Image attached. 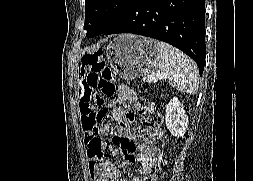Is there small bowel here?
I'll list each match as a JSON object with an SVG mask.
<instances>
[{
	"instance_id": "obj_1",
	"label": "small bowel",
	"mask_w": 253,
	"mask_h": 181,
	"mask_svg": "<svg viewBox=\"0 0 253 181\" xmlns=\"http://www.w3.org/2000/svg\"><path fill=\"white\" fill-rule=\"evenodd\" d=\"M86 70L79 69V112L82 117L87 114V103L85 101L87 86L85 83ZM132 104L135 108H140L141 103L138 100L135 91L121 86L118 89L117 97L111 102V116L117 123L113 144L118 146L122 153L126 155L130 163H141V173L144 176L150 175L155 170L158 163L163 162V153L160 147L152 138L149 130L140 128L137 136L130 134L129 126L134 121V113L123 110L119 105ZM96 130H102L104 134H110L112 127L110 124L96 125ZM85 130V137L88 135ZM88 147L89 170L92 175L97 177V181H127L122 177V170L112 161L104 160L103 155L98 160L92 158L90 147ZM103 148V142H101ZM131 181H145V177L133 176Z\"/></svg>"
}]
</instances>
